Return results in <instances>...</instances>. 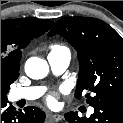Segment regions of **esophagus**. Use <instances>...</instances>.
I'll use <instances>...</instances> for the list:
<instances>
[{"mask_svg":"<svg viewBox=\"0 0 123 123\" xmlns=\"http://www.w3.org/2000/svg\"><path fill=\"white\" fill-rule=\"evenodd\" d=\"M48 118L55 122H59V121L63 120L64 117L60 114H49Z\"/></svg>","mask_w":123,"mask_h":123,"instance_id":"esophagus-1","label":"esophagus"}]
</instances>
